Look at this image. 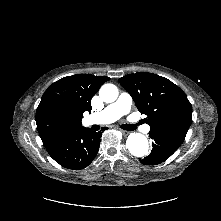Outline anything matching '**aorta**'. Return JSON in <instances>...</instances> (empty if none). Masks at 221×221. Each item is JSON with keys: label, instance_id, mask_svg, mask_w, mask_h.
Listing matches in <instances>:
<instances>
[{"label": "aorta", "instance_id": "1", "mask_svg": "<svg viewBox=\"0 0 221 221\" xmlns=\"http://www.w3.org/2000/svg\"><path fill=\"white\" fill-rule=\"evenodd\" d=\"M100 98L106 103L114 102L118 97V89L114 84H104L99 90ZM126 146L135 157H144L148 154L149 144L147 138L140 133H131Z\"/></svg>", "mask_w": 221, "mask_h": 221}]
</instances>
